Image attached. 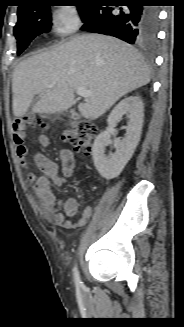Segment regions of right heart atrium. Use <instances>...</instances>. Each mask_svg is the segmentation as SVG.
I'll return each instance as SVG.
<instances>
[{"label":"right heart atrium","instance_id":"obj_1","mask_svg":"<svg viewBox=\"0 0 184 327\" xmlns=\"http://www.w3.org/2000/svg\"><path fill=\"white\" fill-rule=\"evenodd\" d=\"M50 23L55 32L70 35L81 27L82 18L76 8L64 7L52 13Z\"/></svg>","mask_w":184,"mask_h":327}]
</instances>
